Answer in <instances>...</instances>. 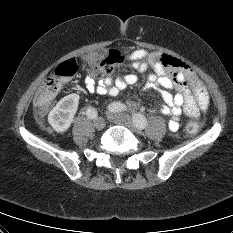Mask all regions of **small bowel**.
Masks as SVG:
<instances>
[{"mask_svg":"<svg viewBox=\"0 0 233 233\" xmlns=\"http://www.w3.org/2000/svg\"><path fill=\"white\" fill-rule=\"evenodd\" d=\"M129 60L137 72L142 73L148 67L153 69L149 82L161 90L163 104L160 109L163 114L171 116L170 130H178L179 116L182 113L190 118H197L200 112L207 110L209 97L206 87L195 71L184 61L145 49L134 50L129 55ZM137 81V75L127 74L116 79L105 76L98 81L88 76L85 83L86 91L91 95L116 96ZM170 89L175 90L176 93L171 94Z\"/></svg>","mask_w":233,"mask_h":233,"instance_id":"obj_1","label":"small bowel"}]
</instances>
